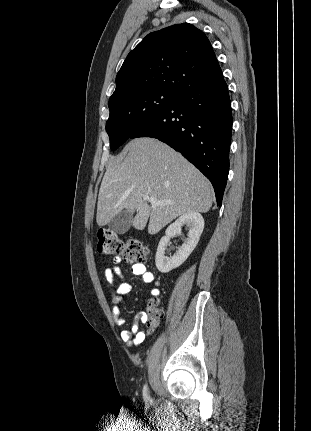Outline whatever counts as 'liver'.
<instances>
[{
    "label": "liver",
    "instance_id": "obj_1",
    "mask_svg": "<svg viewBox=\"0 0 311 431\" xmlns=\"http://www.w3.org/2000/svg\"><path fill=\"white\" fill-rule=\"evenodd\" d=\"M123 162L108 166L101 182L96 221L106 225L119 212L135 214V229L157 233L186 212H209L213 188L190 162L154 138H135L125 146ZM143 196L168 206H150Z\"/></svg>",
    "mask_w": 311,
    "mask_h": 431
}]
</instances>
